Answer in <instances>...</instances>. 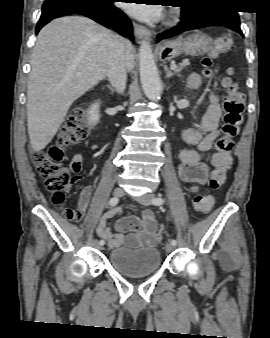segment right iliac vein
I'll return each mask as SVG.
<instances>
[{
	"label": "right iliac vein",
	"instance_id": "right-iliac-vein-1",
	"mask_svg": "<svg viewBox=\"0 0 270 338\" xmlns=\"http://www.w3.org/2000/svg\"><path fill=\"white\" fill-rule=\"evenodd\" d=\"M113 195H114V197H121L122 195H123V190L121 189V188H115L114 190H113ZM93 245H94V247H96V248H101V246L99 245V242L97 241V240H95L94 242H93Z\"/></svg>",
	"mask_w": 270,
	"mask_h": 338
}]
</instances>
